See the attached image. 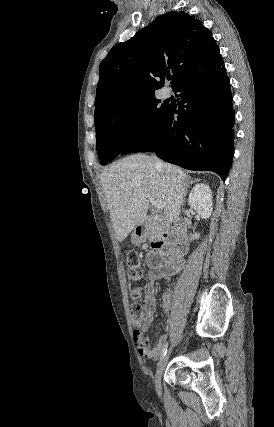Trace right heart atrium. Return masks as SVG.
Returning <instances> with one entry per match:
<instances>
[{"mask_svg": "<svg viewBox=\"0 0 274 427\" xmlns=\"http://www.w3.org/2000/svg\"><path fill=\"white\" fill-rule=\"evenodd\" d=\"M144 127V119L139 115H134L129 121V131L133 136H139Z\"/></svg>", "mask_w": 274, "mask_h": 427, "instance_id": "obj_1", "label": "right heart atrium"}]
</instances>
